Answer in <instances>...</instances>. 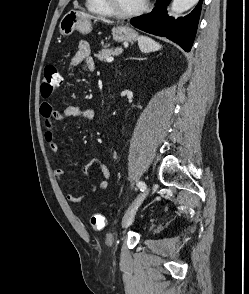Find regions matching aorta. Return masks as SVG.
Wrapping results in <instances>:
<instances>
[{"label":"aorta","mask_w":249,"mask_h":294,"mask_svg":"<svg viewBox=\"0 0 249 294\" xmlns=\"http://www.w3.org/2000/svg\"><path fill=\"white\" fill-rule=\"evenodd\" d=\"M198 1L199 0H173L171 11L177 14L183 13L196 5Z\"/></svg>","instance_id":"1"}]
</instances>
